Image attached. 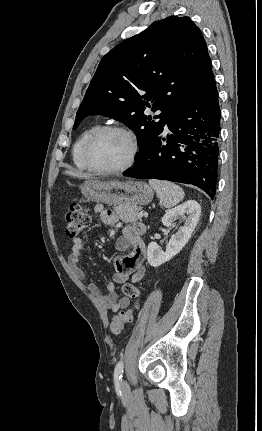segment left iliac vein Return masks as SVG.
<instances>
[{
    "instance_id": "obj_1",
    "label": "left iliac vein",
    "mask_w": 262,
    "mask_h": 431,
    "mask_svg": "<svg viewBox=\"0 0 262 431\" xmlns=\"http://www.w3.org/2000/svg\"><path fill=\"white\" fill-rule=\"evenodd\" d=\"M121 387H122V389H126L127 388V383H126L125 380L121 381Z\"/></svg>"
}]
</instances>
